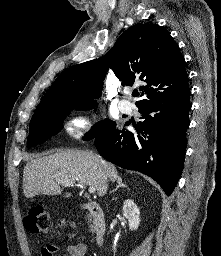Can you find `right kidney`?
<instances>
[{
  "label": "right kidney",
  "instance_id": "1",
  "mask_svg": "<svg viewBox=\"0 0 221 256\" xmlns=\"http://www.w3.org/2000/svg\"><path fill=\"white\" fill-rule=\"evenodd\" d=\"M139 209L131 199H127L123 204V216L128 219L131 231L137 230L140 224Z\"/></svg>",
  "mask_w": 221,
  "mask_h": 256
}]
</instances>
